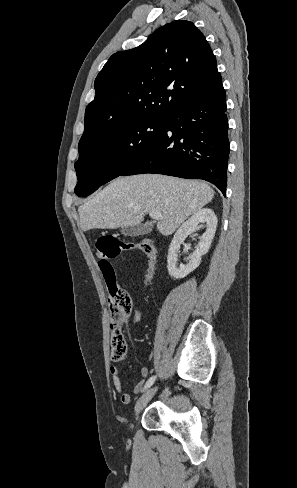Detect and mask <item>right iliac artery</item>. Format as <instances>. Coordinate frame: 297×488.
Listing matches in <instances>:
<instances>
[{
  "label": "right iliac artery",
  "instance_id": "1",
  "mask_svg": "<svg viewBox=\"0 0 297 488\" xmlns=\"http://www.w3.org/2000/svg\"><path fill=\"white\" fill-rule=\"evenodd\" d=\"M155 376H152L148 379V381L146 382L145 384V389L149 388L151 385H153L154 381H155Z\"/></svg>",
  "mask_w": 297,
  "mask_h": 488
}]
</instances>
